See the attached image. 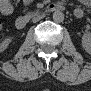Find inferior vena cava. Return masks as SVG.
Segmentation results:
<instances>
[{
  "instance_id": "inferior-vena-cava-1",
  "label": "inferior vena cava",
  "mask_w": 91,
  "mask_h": 91,
  "mask_svg": "<svg viewBox=\"0 0 91 91\" xmlns=\"http://www.w3.org/2000/svg\"><path fill=\"white\" fill-rule=\"evenodd\" d=\"M44 14H42V13H40V14H38V16H35V17H33V22H35V23H37V22H39V21H41L42 19H44Z\"/></svg>"
}]
</instances>
